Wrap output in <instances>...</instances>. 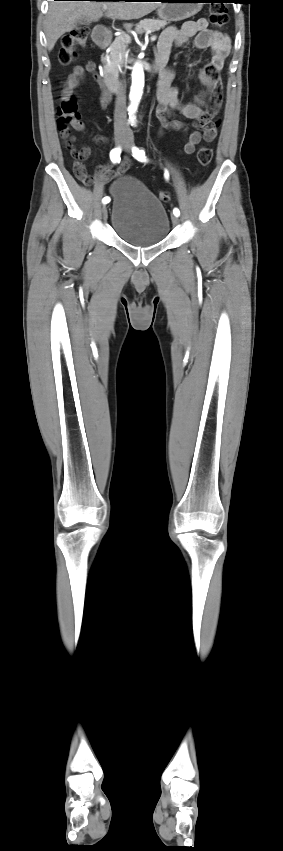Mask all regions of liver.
<instances>
[{
    "label": "liver",
    "instance_id": "liver-1",
    "mask_svg": "<svg viewBox=\"0 0 283 851\" xmlns=\"http://www.w3.org/2000/svg\"><path fill=\"white\" fill-rule=\"evenodd\" d=\"M160 6L161 2L52 0L44 22L47 48L51 51L63 34L75 28L78 19L98 21L103 16L102 9L105 7L106 17L131 20L142 18Z\"/></svg>",
    "mask_w": 283,
    "mask_h": 851
}]
</instances>
